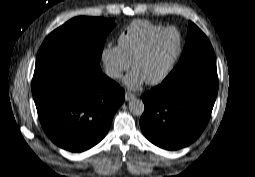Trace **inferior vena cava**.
<instances>
[{
    "label": "inferior vena cava",
    "instance_id": "1",
    "mask_svg": "<svg viewBox=\"0 0 255 177\" xmlns=\"http://www.w3.org/2000/svg\"><path fill=\"white\" fill-rule=\"evenodd\" d=\"M105 72L110 78H119L121 76V72L113 68H107Z\"/></svg>",
    "mask_w": 255,
    "mask_h": 177
}]
</instances>
